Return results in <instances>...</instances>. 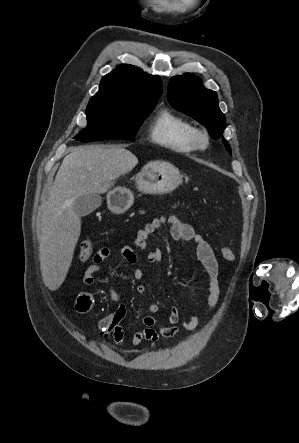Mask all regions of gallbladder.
I'll return each mask as SVG.
<instances>
[{"instance_id":"1","label":"gallbladder","mask_w":299,"mask_h":443,"mask_svg":"<svg viewBox=\"0 0 299 443\" xmlns=\"http://www.w3.org/2000/svg\"><path fill=\"white\" fill-rule=\"evenodd\" d=\"M101 203L102 198L99 194H83L74 200L73 210L79 217H84L99 208Z\"/></svg>"}]
</instances>
